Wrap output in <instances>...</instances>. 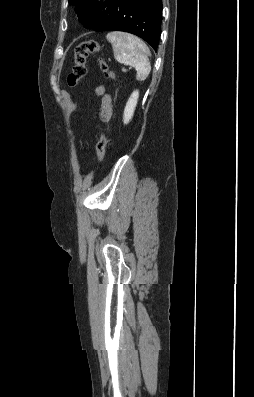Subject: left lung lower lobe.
<instances>
[{
	"mask_svg": "<svg viewBox=\"0 0 254 397\" xmlns=\"http://www.w3.org/2000/svg\"><path fill=\"white\" fill-rule=\"evenodd\" d=\"M95 31H124L148 42L156 51L161 35L162 0H107Z\"/></svg>",
	"mask_w": 254,
	"mask_h": 397,
	"instance_id": "left-lung-lower-lobe-1",
	"label": "left lung lower lobe"
}]
</instances>
